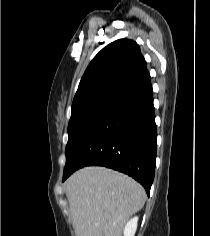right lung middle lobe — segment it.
Instances as JSON below:
<instances>
[{
	"instance_id": "right-lung-middle-lobe-1",
	"label": "right lung middle lobe",
	"mask_w": 210,
	"mask_h": 236,
	"mask_svg": "<svg viewBox=\"0 0 210 236\" xmlns=\"http://www.w3.org/2000/svg\"><path fill=\"white\" fill-rule=\"evenodd\" d=\"M118 88L87 99L72 107L68 125L66 165L90 130L128 93Z\"/></svg>"
}]
</instances>
